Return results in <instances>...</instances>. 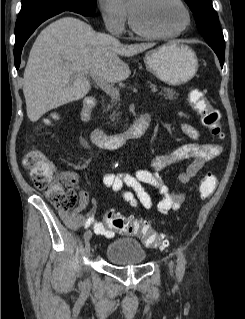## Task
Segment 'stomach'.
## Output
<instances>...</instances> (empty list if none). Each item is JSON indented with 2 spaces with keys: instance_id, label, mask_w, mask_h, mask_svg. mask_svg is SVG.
Wrapping results in <instances>:
<instances>
[{
  "instance_id": "1",
  "label": "stomach",
  "mask_w": 245,
  "mask_h": 319,
  "mask_svg": "<svg viewBox=\"0 0 245 319\" xmlns=\"http://www.w3.org/2000/svg\"><path fill=\"white\" fill-rule=\"evenodd\" d=\"M144 62L151 73L170 85L188 82L198 70L195 52L180 42H170L147 52Z\"/></svg>"
}]
</instances>
